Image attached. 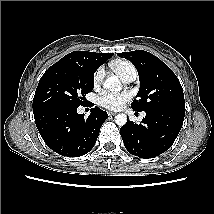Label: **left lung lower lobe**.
Instances as JSON below:
<instances>
[{
  "instance_id": "0a47b994",
  "label": "left lung lower lobe",
  "mask_w": 214,
  "mask_h": 214,
  "mask_svg": "<svg viewBox=\"0 0 214 214\" xmlns=\"http://www.w3.org/2000/svg\"><path fill=\"white\" fill-rule=\"evenodd\" d=\"M145 112L141 124L128 121L120 134L130 154L149 159L172 146L183 125L185 111L152 109Z\"/></svg>"
}]
</instances>
